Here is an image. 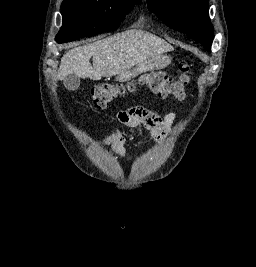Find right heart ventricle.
<instances>
[{
  "label": "right heart ventricle",
  "instance_id": "1",
  "mask_svg": "<svg viewBox=\"0 0 256 267\" xmlns=\"http://www.w3.org/2000/svg\"><path fill=\"white\" fill-rule=\"evenodd\" d=\"M130 28H145V27H130Z\"/></svg>",
  "mask_w": 256,
  "mask_h": 267
}]
</instances>
